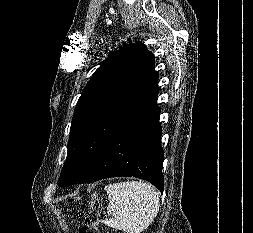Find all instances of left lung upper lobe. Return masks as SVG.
I'll list each match as a JSON object with an SVG mask.
<instances>
[{"label": "left lung upper lobe", "instance_id": "obj_1", "mask_svg": "<svg viewBox=\"0 0 253 233\" xmlns=\"http://www.w3.org/2000/svg\"><path fill=\"white\" fill-rule=\"evenodd\" d=\"M154 65L153 54L139 43L101 63L77 102L59 186L75 184L87 174L118 123L158 81Z\"/></svg>", "mask_w": 253, "mask_h": 233}]
</instances>
